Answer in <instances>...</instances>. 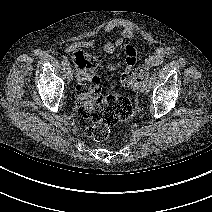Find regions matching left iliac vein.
I'll return each instance as SVG.
<instances>
[{"instance_id": "obj_1", "label": "left iliac vein", "mask_w": 212, "mask_h": 212, "mask_svg": "<svg viewBox=\"0 0 212 212\" xmlns=\"http://www.w3.org/2000/svg\"><path fill=\"white\" fill-rule=\"evenodd\" d=\"M138 90H139V92H141V93L145 92V87H144V85L141 84V85L138 87Z\"/></svg>"}]
</instances>
